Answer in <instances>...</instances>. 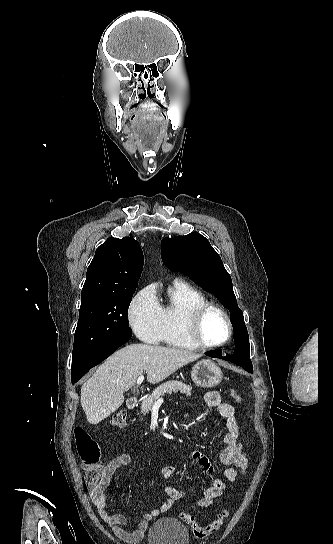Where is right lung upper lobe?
Wrapping results in <instances>:
<instances>
[{
    "instance_id": "cb5924a9",
    "label": "right lung upper lobe",
    "mask_w": 333,
    "mask_h": 544,
    "mask_svg": "<svg viewBox=\"0 0 333 544\" xmlns=\"http://www.w3.org/2000/svg\"><path fill=\"white\" fill-rule=\"evenodd\" d=\"M143 263L141 247L133 238H108L87 269L81 304L106 294L135 291Z\"/></svg>"
}]
</instances>
